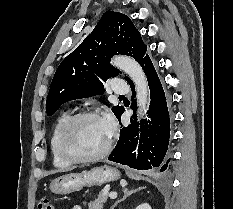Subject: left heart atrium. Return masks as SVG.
Instances as JSON below:
<instances>
[{
    "instance_id": "obj_1",
    "label": "left heart atrium",
    "mask_w": 233,
    "mask_h": 209,
    "mask_svg": "<svg viewBox=\"0 0 233 209\" xmlns=\"http://www.w3.org/2000/svg\"><path fill=\"white\" fill-rule=\"evenodd\" d=\"M101 121L103 123V126H104L106 132L108 133V135H110L114 129V122H113L112 118L110 116L106 115L101 119Z\"/></svg>"
}]
</instances>
